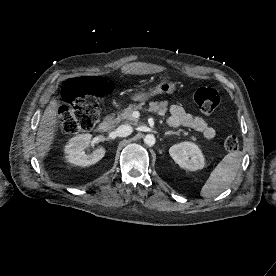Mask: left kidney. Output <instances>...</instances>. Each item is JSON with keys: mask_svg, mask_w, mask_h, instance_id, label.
<instances>
[{"mask_svg": "<svg viewBox=\"0 0 276 276\" xmlns=\"http://www.w3.org/2000/svg\"><path fill=\"white\" fill-rule=\"evenodd\" d=\"M169 154L181 168L190 171L204 168V156L200 148L192 142H181L171 146Z\"/></svg>", "mask_w": 276, "mask_h": 276, "instance_id": "5707ae66", "label": "left kidney"}]
</instances>
